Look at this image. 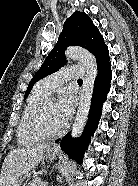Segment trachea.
I'll return each mask as SVG.
<instances>
[{"label":"trachea","mask_w":138,"mask_h":186,"mask_svg":"<svg viewBox=\"0 0 138 186\" xmlns=\"http://www.w3.org/2000/svg\"><path fill=\"white\" fill-rule=\"evenodd\" d=\"M78 82H83V80L82 79H78Z\"/></svg>","instance_id":"trachea-1"}]
</instances>
